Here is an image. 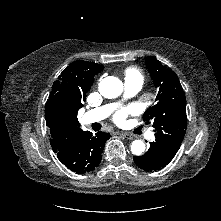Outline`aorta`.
Wrapping results in <instances>:
<instances>
[{"mask_svg": "<svg viewBox=\"0 0 221 221\" xmlns=\"http://www.w3.org/2000/svg\"><path fill=\"white\" fill-rule=\"evenodd\" d=\"M100 94L108 99H113L121 95L123 92V83L120 79L108 76L99 83ZM145 151V144L141 140H134L131 145V152L134 155H141Z\"/></svg>", "mask_w": 221, "mask_h": 221, "instance_id": "obj_1", "label": "aorta"}]
</instances>
